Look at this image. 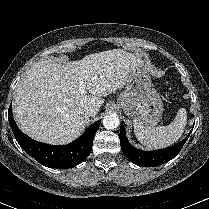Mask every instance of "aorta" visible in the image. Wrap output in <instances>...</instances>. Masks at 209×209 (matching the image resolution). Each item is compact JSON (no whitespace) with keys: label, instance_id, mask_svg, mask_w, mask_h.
<instances>
[{"label":"aorta","instance_id":"762f6f07","mask_svg":"<svg viewBox=\"0 0 209 209\" xmlns=\"http://www.w3.org/2000/svg\"><path fill=\"white\" fill-rule=\"evenodd\" d=\"M102 123L106 129L113 130L119 126L120 121L116 114H109L103 118Z\"/></svg>","mask_w":209,"mask_h":209}]
</instances>
